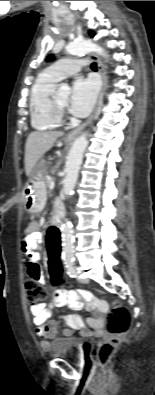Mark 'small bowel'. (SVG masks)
Segmentation results:
<instances>
[{
  "instance_id": "1",
  "label": "small bowel",
  "mask_w": 155,
  "mask_h": 395,
  "mask_svg": "<svg viewBox=\"0 0 155 395\" xmlns=\"http://www.w3.org/2000/svg\"><path fill=\"white\" fill-rule=\"evenodd\" d=\"M40 235L35 228H31L28 238L22 241L21 251L26 258L27 273L29 277L37 279L40 283L44 282V276L38 264L40 253L37 251V243ZM72 288V285H69ZM69 306L74 310H80L86 307L88 310L98 311L99 315H109L111 309V301L106 300L105 296H98L94 299L92 295L85 290H74L56 288L49 304L38 303L30 308L33 315V323L36 327V335L40 345L44 350L50 348V340L53 339L57 331L56 321H48L53 309L62 306ZM95 315L87 319V324L93 330L94 335H100L103 329V319L101 316ZM58 320H63L67 325L63 335L66 338L72 336V330H78L82 335H87V331L83 319L77 314L58 315Z\"/></svg>"
}]
</instances>
